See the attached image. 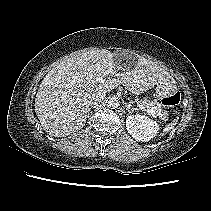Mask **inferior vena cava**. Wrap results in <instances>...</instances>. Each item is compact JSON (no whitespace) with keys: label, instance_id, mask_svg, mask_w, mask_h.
Here are the masks:
<instances>
[{"label":"inferior vena cava","instance_id":"inferior-vena-cava-1","mask_svg":"<svg viewBox=\"0 0 211 211\" xmlns=\"http://www.w3.org/2000/svg\"><path fill=\"white\" fill-rule=\"evenodd\" d=\"M105 98V92H97L88 98V105H96Z\"/></svg>","mask_w":211,"mask_h":211}]
</instances>
